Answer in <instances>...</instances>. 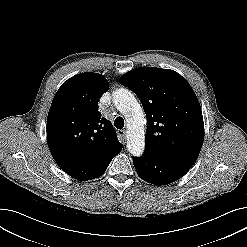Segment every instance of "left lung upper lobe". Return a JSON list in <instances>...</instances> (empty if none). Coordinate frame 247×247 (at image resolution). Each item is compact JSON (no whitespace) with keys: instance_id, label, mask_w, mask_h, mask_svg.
Returning <instances> with one entry per match:
<instances>
[{"instance_id":"5c2ea615","label":"left lung upper lobe","mask_w":247,"mask_h":247,"mask_svg":"<svg viewBox=\"0 0 247 247\" xmlns=\"http://www.w3.org/2000/svg\"><path fill=\"white\" fill-rule=\"evenodd\" d=\"M120 83L140 99L147 116L145 151L195 162L204 140L198 99L189 83L172 70L139 67Z\"/></svg>"}]
</instances>
